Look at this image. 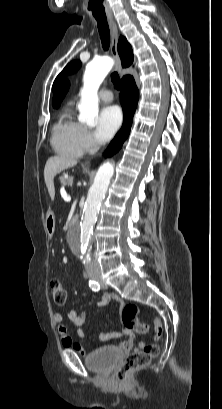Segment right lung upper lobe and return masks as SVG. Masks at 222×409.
Segmentation results:
<instances>
[{
  "mask_svg": "<svg viewBox=\"0 0 222 409\" xmlns=\"http://www.w3.org/2000/svg\"><path fill=\"white\" fill-rule=\"evenodd\" d=\"M118 53L120 55L123 67H128L132 64L133 62L132 48H131V45L127 42L125 37H120L119 39ZM128 76H124L123 80H125ZM69 86H70L69 81H67L66 79H63L57 85L55 93H54V97H53V106L55 108L59 107L61 101L63 100L64 96L66 95L69 89Z\"/></svg>",
  "mask_w": 222,
  "mask_h": 409,
  "instance_id": "obj_1",
  "label": "right lung upper lobe"
}]
</instances>
